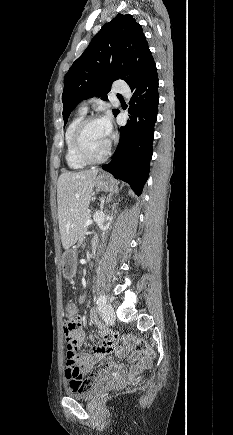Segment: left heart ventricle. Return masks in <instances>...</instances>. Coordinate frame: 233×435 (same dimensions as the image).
Wrapping results in <instances>:
<instances>
[{
  "mask_svg": "<svg viewBox=\"0 0 233 435\" xmlns=\"http://www.w3.org/2000/svg\"><path fill=\"white\" fill-rule=\"evenodd\" d=\"M110 138L111 136L106 131L101 120L90 123L83 135L85 146L93 156H100L105 152Z\"/></svg>",
  "mask_w": 233,
  "mask_h": 435,
  "instance_id": "1",
  "label": "left heart ventricle"
}]
</instances>
